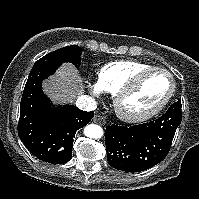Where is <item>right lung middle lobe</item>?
<instances>
[{"mask_svg": "<svg viewBox=\"0 0 199 199\" xmlns=\"http://www.w3.org/2000/svg\"><path fill=\"white\" fill-rule=\"evenodd\" d=\"M81 48L76 45L66 46L48 53L41 59L35 62L33 68L47 65V64H62L65 62H70L74 64L77 68L80 66V55Z\"/></svg>", "mask_w": 199, "mask_h": 199, "instance_id": "dd1d6c3e", "label": "right lung middle lobe"}]
</instances>
